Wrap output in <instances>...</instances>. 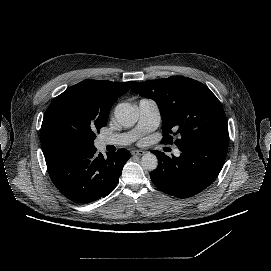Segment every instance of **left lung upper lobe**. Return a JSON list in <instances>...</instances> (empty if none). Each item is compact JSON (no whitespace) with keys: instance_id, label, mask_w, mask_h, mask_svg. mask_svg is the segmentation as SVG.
<instances>
[{"instance_id":"5c2ea615","label":"left lung upper lobe","mask_w":271,"mask_h":271,"mask_svg":"<svg viewBox=\"0 0 271 271\" xmlns=\"http://www.w3.org/2000/svg\"><path fill=\"white\" fill-rule=\"evenodd\" d=\"M131 90L159 105L164 129L162 142H173L169 134H178L177 146L197 145L204 139L228 142L224 110L217 97L199 81L172 76L138 82Z\"/></svg>"}]
</instances>
